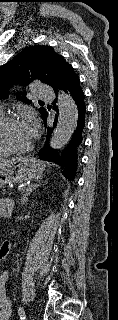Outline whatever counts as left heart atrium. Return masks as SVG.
Masks as SVG:
<instances>
[{"instance_id": "obj_1", "label": "left heart atrium", "mask_w": 118, "mask_h": 320, "mask_svg": "<svg viewBox=\"0 0 118 320\" xmlns=\"http://www.w3.org/2000/svg\"><path fill=\"white\" fill-rule=\"evenodd\" d=\"M32 138L36 136L37 134V129H36V123L34 121V119H31L28 123Z\"/></svg>"}]
</instances>
